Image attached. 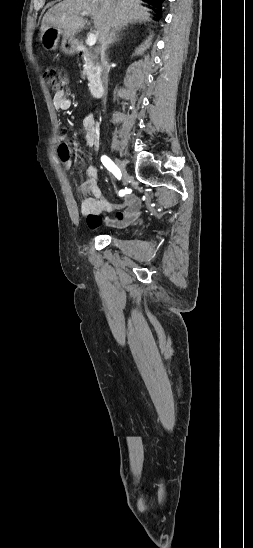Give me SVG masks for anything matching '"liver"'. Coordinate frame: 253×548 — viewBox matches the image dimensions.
<instances>
[{"mask_svg": "<svg viewBox=\"0 0 253 548\" xmlns=\"http://www.w3.org/2000/svg\"><path fill=\"white\" fill-rule=\"evenodd\" d=\"M83 11L92 15L99 39L105 25L120 30L128 24L150 21L148 9L139 0H63L46 12L40 30L43 33L54 27L74 37L86 24Z\"/></svg>", "mask_w": 253, "mask_h": 548, "instance_id": "1", "label": "liver"}]
</instances>
